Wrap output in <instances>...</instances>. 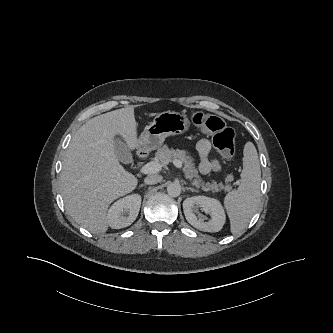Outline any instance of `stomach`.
<instances>
[{
    "instance_id": "obj_1",
    "label": "stomach",
    "mask_w": 333,
    "mask_h": 333,
    "mask_svg": "<svg viewBox=\"0 0 333 333\" xmlns=\"http://www.w3.org/2000/svg\"><path fill=\"white\" fill-rule=\"evenodd\" d=\"M189 127L190 121L184 114L175 111L159 113L141 133L140 148L143 151L157 149L162 146L166 137L183 134Z\"/></svg>"
}]
</instances>
